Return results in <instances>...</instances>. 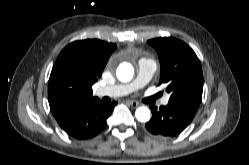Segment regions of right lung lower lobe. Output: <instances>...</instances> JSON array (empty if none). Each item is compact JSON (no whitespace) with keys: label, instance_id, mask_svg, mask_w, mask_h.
Segmentation results:
<instances>
[{"label":"right lung lower lobe","instance_id":"right-lung-lower-lobe-1","mask_svg":"<svg viewBox=\"0 0 249 165\" xmlns=\"http://www.w3.org/2000/svg\"><path fill=\"white\" fill-rule=\"evenodd\" d=\"M116 102L104 103L99 99L76 106L55 116L61 128L70 136L83 140L99 134L106 126Z\"/></svg>","mask_w":249,"mask_h":165}]
</instances>
